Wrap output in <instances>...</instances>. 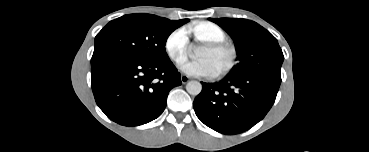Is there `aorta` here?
Masks as SVG:
<instances>
[{
  "mask_svg": "<svg viewBox=\"0 0 369 152\" xmlns=\"http://www.w3.org/2000/svg\"><path fill=\"white\" fill-rule=\"evenodd\" d=\"M186 90L190 95H198L202 91V85L198 81H189L186 85Z\"/></svg>",
  "mask_w": 369,
  "mask_h": 152,
  "instance_id": "obj_1",
  "label": "aorta"
}]
</instances>
